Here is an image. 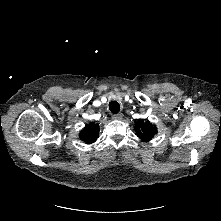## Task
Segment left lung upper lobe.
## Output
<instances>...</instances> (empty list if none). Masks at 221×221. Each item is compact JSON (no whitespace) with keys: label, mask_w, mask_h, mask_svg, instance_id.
Wrapping results in <instances>:
<instances>
[{"label":"left lung upper lobe","mask_w":221,"mask_h":221,"mask_svg":"<svg viewBox=\"0 0 221 221\" xmlns=\"http://www.w3.org/2000/svg\"><path fill=\"white\" fill-rule=\"evenodd\" d=\"M135 131L143 141H150L157 133V129L149 121L139 120L135 122Z\"/></svg>","instance_id":"obj_1"}]
</instances>
